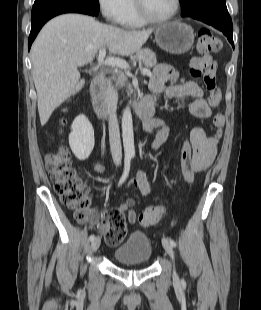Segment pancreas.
I'll return each mask as SVG.
<instances>
[{"mask_svg":"<svg viewBox=\"0 0 261 310\" xmlns=\"http://www.w3.org/2000/svg\"><path fill=\"white\" fill-rule=\"evenodd\" d=\"M131 60L133 62L141 60L143 62V64L150 68V67H157V61H156V56L155 54L149 50V49H144V50H140L136 53V55L131 56ZM113 79H115L117 81V84L119 86H124L125 83L127 82V77L124 74L123 71H117L115 73V75L113 76ZM157 79L156 74H153L152 78H151V83L154 84V81ZM151 89H154V86H150Z\"/></svg>","mask_w":261,"mask_h":310,"instance_id":"1","label":"pancreas"}]
</instances>
